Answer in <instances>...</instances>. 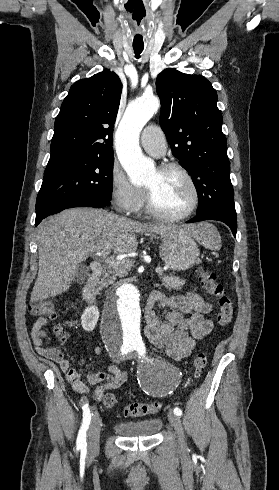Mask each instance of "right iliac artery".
Listing matches in <instances>:
<instances>
[{
	"label": "right iliac artery",
	"instance_id": "1",
	"mask_svg": "<svg viewBox=\"0 0 279 490\" xmlns=\"http://www.w3.org/2000/svg\"><path fill=\"white\" fill-rule=\"evenodd\" d=\"M82 409H83V423H82V426L79 430L78 437H77V448L81 449L82 451L85 452L86 446H87L86 431L89 428V424L91 421V414H90L88 404H85L82 407Z\"/></svg>",
	"mask_w": 279,
	"mask_h": 490
}]
</instances>
